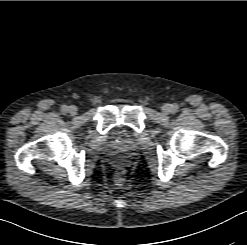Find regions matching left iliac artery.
<instances>
[{
	"instance_id": "44dca946",
	"label": "left iliac artery",
	"mask_w": 247,
	"mask_h": 245,
	"mask_svg": "<svg viewBox=\"0 0 247 245\" xmlns=\"http://www.w3.org/2000/svg\"><path fill=\"white\" fill-rule=\"evenodd\" d=\"M179 106L177 104L172 105V112L175 113L178 111Z\"/></svg>"
}]
</instances>
